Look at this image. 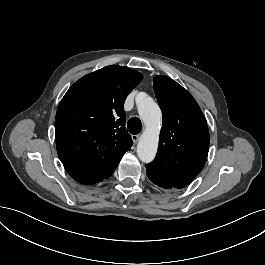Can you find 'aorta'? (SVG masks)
Masks as SVG:
<instances>
[{
  "label": "aorta",
  "mask_w": 265,
  "mask_h": 265,
  "mask_svg": "<svg viewBox=\"0 0 265 265\" xmlns=\"http://www.w3.org/2000/svg\"><path fill=\"white\" fill-rule=\"evenodd\" d=\"M138 111L145 128L137 145V153L143 162H150L155 157L159 144L158 125L161 122V110L148 98L138 104Z\"/></svg>",
  "instance_id": "obj_1"
}]
</instances>
